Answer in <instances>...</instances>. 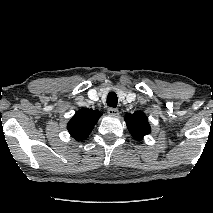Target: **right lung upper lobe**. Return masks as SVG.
<instances>
[{"label": "right lung upper lobe", "instance_id": "right-lung-upper-lobe-1", "mask_svg": "<svg viewBox=\"0 0 213 213\" xmlns=\"http://www.w3.org/2000/svg\"><path fill=\"white\" fill-rule=\"evenodd\" d=\"M101 115L98 110L83 108L72 117L67 129L76 141H83L89 136Z\"/></svg>", "mask_w": 213, "mask_h": 213}]
</instances>
